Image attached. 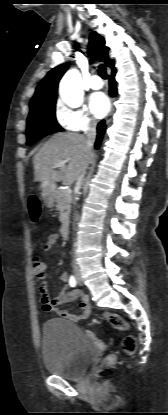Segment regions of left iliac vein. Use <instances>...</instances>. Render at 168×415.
I'll use <instances>...</instances> for the list:
<instances>
[{"label":"left iliac vein","mask_w":168,"mask_h":415,"mask_svg":"<svg viewBox=\"0 0 168 415\" xmlns=\"http://www.w3.org/2000/svg\"><path fill=\"white\" fill-rule=\"evenodd\" d=\"M77 283H78L79 285H82V279H81V276H80V274H79V273L77 274Z\"/></svg>","instance_id":"obj_1"}]
</instances>
